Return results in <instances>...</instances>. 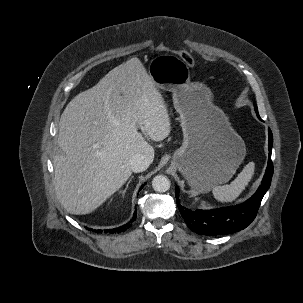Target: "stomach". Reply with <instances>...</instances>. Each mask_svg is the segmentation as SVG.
Here are the masks:
<instances>
[{"label":"stomach","instance_id":"obj_1","mask_svg":"<svg viewBox=\"0 0 303 303\" xmlns=\"http://www.w3.org/2000/svg\"><path fill=\"white\" fill-rule=\"evenodd\" d=\"M154 85L173 93L180 115L183 143L175 151L172 166L198 192L228 182L243 162L246 146L228 117L212 102L211 90L190 81L186 63L174 55H159L148 68Z\"/></svg>","mask_w":303,"mask_h":303}]
</instances>
